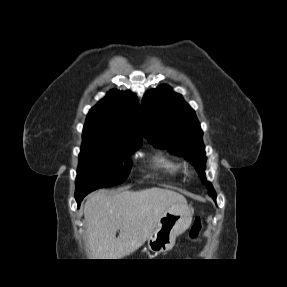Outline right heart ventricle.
<instances>
[{
  "label": "right heart ventricle",
  "instance_id": "right-heart-ventricle-1",
  "mask_svg": "<svg viewBox=\"0 0 287 287\" xmlns=\"http://www.w3.org/2000/svg\"><path fill=\"white\" fill-rule=\"evenodd\" d=\"M155 165L171 176H178L183 171L181 163L165 154H158L156 156Z\"/></svg>",
  "mask_w": 287,
  "mask_h": 287
}]
</instances>
